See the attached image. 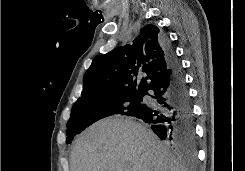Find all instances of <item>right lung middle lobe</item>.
<instances>
[{"label": "right lung middle lobe", "mask_w": 245, "mask_h": 171, "mask_svg": "<svg viewBox=\"0 0 245 171\" xmlns=\"http://www.w3.org/2000/svg\"><path fill=\"white\" fill-rule=\"evenodd\" d=\"M143 95H115L97 100L78 101L67 122L66 143L94 122L111 115L132 116L142 105ZM170 143V142H169ZM171 144V143H170ZM173 145V144H172Z\"/></svg>", "instance_id": "1"}]
</instances>
